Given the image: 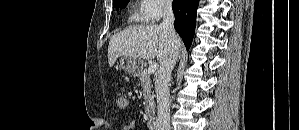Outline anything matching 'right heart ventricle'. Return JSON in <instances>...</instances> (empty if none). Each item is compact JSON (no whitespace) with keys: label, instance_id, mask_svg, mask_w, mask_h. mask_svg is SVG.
<instances>
[{"label":"right heart ventricle","instance_id":"1","mask_svg":"<svg viewBox=\"0 0 299 130\" xmlns=\"http://www.w3.org/2000/svg\"><path fill=\"white\" fill-rule=\"evenodd\" d=\"M132 18L133 19H140V18H142V14L141 13H133V15H132Z\"/></svg>","mask_w":299,"mask_h":130}]
</instances>
